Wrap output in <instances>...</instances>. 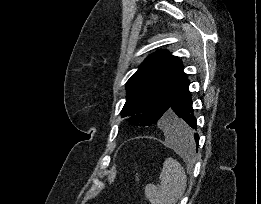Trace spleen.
<instances>
[{
  "mask_svg": "<svg viewBox=\"0 0 261 204\" xmlns=\"http://www.w3.org/2000/svg\"><path fill=\"white\" fill-rule=\"evenodd\" d=\"M166 142L179 153H191L195 149L193 139L177 141L166 132ZM160 185L148 184L145 187V196L151 204H176L186 189L187 176L183 167L173 158L165 159L159 176Z\"/></svg>",
  "mask_w": 261,
  "mask_h": 204,
  "instance_id": "1",
  "label": "spleen"
}]
</instances>
